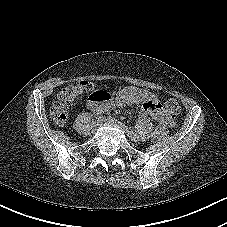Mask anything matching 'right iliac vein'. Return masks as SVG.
Masks as SVG:
<instances>
[{"label": "right iliac vein", "instance_id": "obj_1", "mask_svg": "<svg viewBox=\"0 0 227 227\" xmlns=\"http://www.w3.org/2000/svg\"><path fill=\"white\" fill-rule=\"evenodd\" d=\"M98 127H99V122H95V123L92 124L91 129H92L93 132H95L98 129Z\"/></svg>", "mask_w": 227, "mask_h": 227}]
</instances>
